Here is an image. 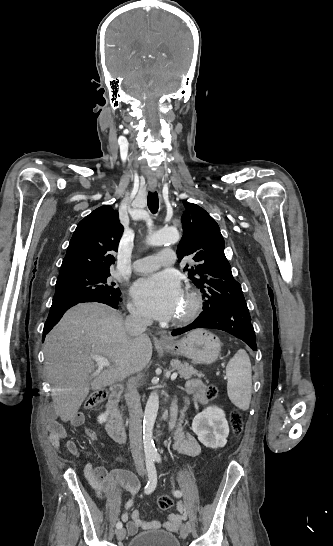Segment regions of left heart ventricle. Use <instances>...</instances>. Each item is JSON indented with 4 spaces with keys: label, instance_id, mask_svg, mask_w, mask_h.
I'll return each instance as SVG.
<instances>
[{
    "label": "left heart ventricle",
    "instance_id": "b2bd125f",
    "mask_svg": "<svg viewBox=\"0 0 333 546\" xmlns=\"http://www.w3.org/2000/svg\"><path fill=\"white\" fill-rule=\"evenodd\" d=\"M188 308V301H187V298L185 297V295H183V298L179 304V307H178V310H177V313L175 315V317H179L181 316Z\"/></svg>",
    "mask_w": 333,
    "mask_h": 546
}]
</instances>
